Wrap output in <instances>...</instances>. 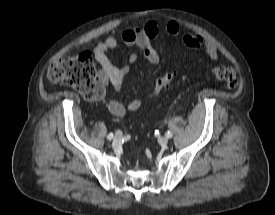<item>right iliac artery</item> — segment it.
<instances>
[{
    "label": "right iliac artery",
    "instance_id": "1",
    "mask_svg": "<svg viewBox=\"0 0 275 215\" xmlns=\"http://www.w3.org/2000/svg\"><path fill=\"white\" fill-rule=\"evenodd\" d=\"M113 133H110V134H108V136H107V138L109 139V140H111V139H113Z\"/></svg>",
    "mask_w": 275,
    "mask_h": 215
}]
</instances>
